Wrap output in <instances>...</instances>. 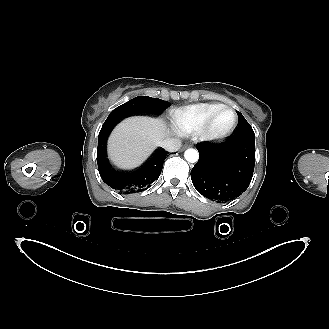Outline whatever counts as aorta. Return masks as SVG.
I'll use <instances>...</instances> for the list:
<instances>
[{"instance_id": "aorta-1", "label": "aorta", "mask_w": 329, "mask_h": 329, "mask_svg": "<svg viewBox=\"0 0 329 329\" xmlns=\"http://www.w3.org/2000/svg\"><path fill=\"white\" fill-rule=\"evenodd\" d=\"M184 157L189 163H195L199 159V153L193 148H189L184 152Z\"/></svg>"}]
</instances>
